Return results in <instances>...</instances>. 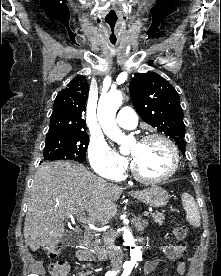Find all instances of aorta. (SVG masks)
Segmentation results:
<instances>
[{"label": "aorta", "mask_w": 221, "mask_h": 276, "mask_svg": "<svg viewBox=\"0 0 221 276\" xmlns=\"http://www.w3.org/2000/svg\"><path fill=\"white\" fill-rule=\"evenodd\" d=\"M123 97L121 92H109L100 97L98 102L97 116L99 124L101 125L105 135L114 142L123 145L126 140L125 134L117 126L115 116L117 110L121 106ZM123 239L126 246L131 247L130 255L131 260L127 263L134 266L137 261H141L142 252L139 246H135L134 238L131 231L123 228Z\"/></svg>", "instance_id": "762f6f07"}]
</instances>
